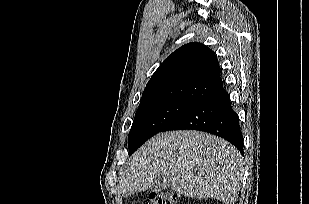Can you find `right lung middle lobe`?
<instances>
[{"label": "right lung middle lobe", "instance_id": "right-lung-middle-lobe-1", "mask_svg": "<svg viewBox=\"0 0 309 204\" xmlns=\"http://www.w3.org/2000/svg\"><path fill=\"white\" fill-rule=\"evenodd\" d=\"M196 104L183 100H160L140 104L128 137L129 154H133L149 138L161 132Z\"/></svg>", "mask_w": 309, "mask_h": 204}]
</instances>
